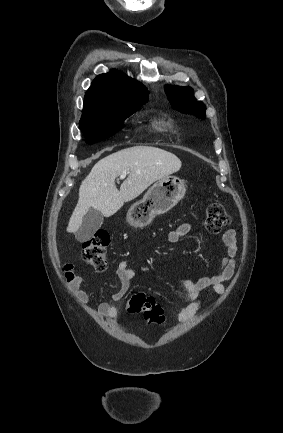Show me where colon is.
Listing matches in <instances>:
<instances>
[{"label":"colon","mask_w":283,"mask_h":433,"mask_svg":"<svg viewBox=\"0 0 283 433\" xmlns=\"http://www.w3.org/2000/svg\"><path fill=\"white\" fill-rule=\"evenodd\" d=\"M230 224V216L221 203H210L206 210L205 227L212 233L219 232ZM110 239L106 233H97L91 239L83 243V261L97 271H105L108 267L107 248ZM66 279L72 281L75 278L73 265L65 266ZM128 314H142L145 320L152 325H160L164 321L162 307L156 303L153 297L145 294H136L128 301L126 306Z\"/></svg>","instance_id":"5ec220e1"}]
</instances>
